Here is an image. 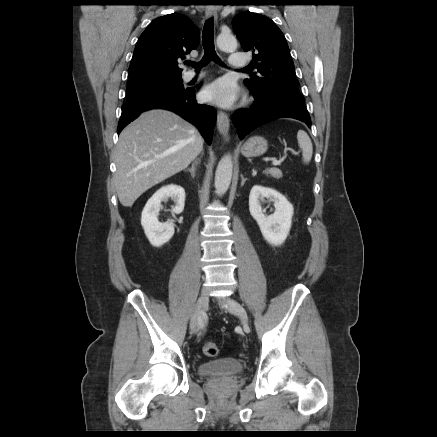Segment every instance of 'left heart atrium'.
Returning <instances> with one entry per match:
<instances>
[{"instance_id": "left-heart-atrium-1", "label": "left heart atrium", "mask_w": 437, "mask_h": 437, "mask_svg": "<svg viewBox=\"0 0 437 437\" xmlns=\"http://www.w3.org/2000/svg\"><path fill=\"white\" fill-rule=\"evenodd\" d=\"M238 95L239 90L236 84L226 78H221L214 81L203 91V96L206 100L224 108L233 106L238 98Z\"/></svg>"}]
</instances>
